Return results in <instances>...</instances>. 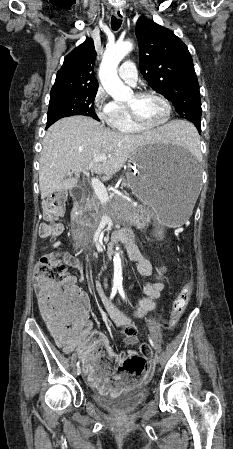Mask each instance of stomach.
Instances as JSON below:
<instances>
[{
  "label": "stomach",
  "instance_id": "1",
  "mask_svg": "<svg viewBox=\"0 0 233 449\" xmlns=\"http://www.w3.org/2000/svg\"><path fill=\"white\" fill-rule=\"evenodd\" d=\"M126 176L132 192L152 211L161 227L184 224L199 201L200 173L195 158L166 143L139 147Z\"/></svg>",
  "mask_w": 233,
  "mask_h": 449
}]
</instances>
